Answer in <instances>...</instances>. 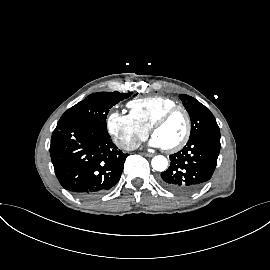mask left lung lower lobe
Masks as SVG:
<instances>
[{
    "label": "left lung lower lobe",
    "instance_id": "1",
    "mask_svg": "<svg viewBox=\"0 0 270 270\" xmlns=\"http://www.w3.org/2000/svg\"><path fill=\"white\" fill-rule=\"evenodd\" d=\"M220 135H201L170 155L169 168L161 173L160 184L180 195H189L212 177L220 152Z\"/></svg>",
    "mask_w": 270,
    "mask_h": 270
}]
</instances>
